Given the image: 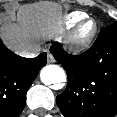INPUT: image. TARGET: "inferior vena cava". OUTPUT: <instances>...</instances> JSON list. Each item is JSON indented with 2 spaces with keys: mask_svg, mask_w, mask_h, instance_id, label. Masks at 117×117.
<instances>
[{
  "mask_svg": "<svg viewBox=\"0 0 117 117\" xmlns=\"http://www.w3.org/2000/svg\"><path fill=\"white\" fill-rule=\"evenodd\" d=\"M40 52V47L37 45L29 46L17 51V54L26 57V58H33L37 56Z\"/></svg>",
  "mask_w": 117,
  "mask_h": 117,
  "instance_id": "inferior-vena-cava-1",
  "label": "inferior vena cava"
}]
</instances>
